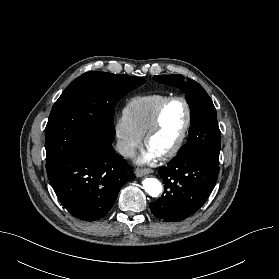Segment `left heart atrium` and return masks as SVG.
<instances>
[{
    "instance_id": "39dd6f15",
    "label": "left heart atrium",
    "mask_w": 279,
    "mask_h": 279,
    "mask_svg": "<svg viewBox=\"0 0 279 279\" xmlns=\"http://www.w3.org/2000/svg\"><path fill=\"white\" fill-rule=\"evenodd\" d=\"M157 156L158 155L155 152H153L151 149H148V151L142 158V161H144V162L151 161V160L155 159Z\"/></svg>"
}]
</instances>
